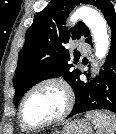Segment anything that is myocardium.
I'll use <instances>...</instances> for the list:
<instances>
[{"label": "myocardium", "mask_w": 116, "mask_h": 134, "mask_svg": "<svg viewBox=\"0 0 116 134\" xmlns=\"http://www.w3.org/2000/svg\"><path fill=\"white\" fill-rule=\"evenodd\" d=\"M49 85L56 86L62 91V93L64 95V100H65L63 110L56 117H54L53 119H50L46 122L39 123V124H31V123L27 122L23 115V107H24V103H25L27 97L33 91L37 90L38 88H41L44 86H49ZM73 103H74L73 92H72L71 88L69 87V85L64 80L59 79V78H46V79L40 80L37 83H35L34 85H32L24 93V95L22 96L20 103H19L18 118H19L20 124L27 129L46 128V127L58 124L61 121H63L70 113V111L73 107Z\"/></svg>", "instance_id": "f54148a6"}]
</instances>
